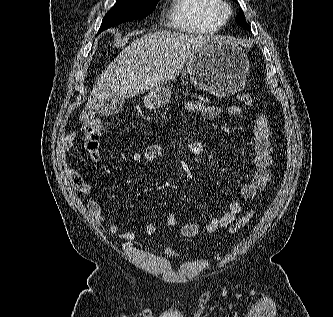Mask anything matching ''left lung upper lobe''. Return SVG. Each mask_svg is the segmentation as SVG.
Masks as SVG:
<instances>
[{
    "label": "left lung upper lobe",
    "mask_w": 333,
    "mask_h": 317,
    "mask_svg": "<svg viewBox=\"0 0 333 317\" xmlns=\"http://www.w3.org/2000/svg\"><path fill=\"white\" fill-rule=\"evenodd\" d=\"M237 2V0H234ZM236 23L241 25L242 27H244L247 30H251L250 26L247 24L244 13L241 11L236 18Z\"/></svg>",
    "instance_id": "5c2ea615"
}]
</instances>
